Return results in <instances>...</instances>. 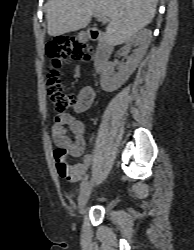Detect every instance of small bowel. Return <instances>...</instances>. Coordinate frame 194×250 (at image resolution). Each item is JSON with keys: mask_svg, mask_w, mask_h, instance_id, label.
I'll list each match as a JSON object with an SVG mask.
<instances>
[{"mask_svg": "<svg viewBox=\"0 0 194 250\" xmlns=\"http://www.w3.org/2000/svg\"><path fill=\"white\" fill-rule=\"evenodd\" d=\"M95 99V91L92 86H84L78 95L76 112L82 113L88 110ZM51 135L57 149H64L73 157H81L85 149V125L69 113H60L54 117L51 125ZM92 156L85 155L82 161L64 171L57 163L58 174L70 182H78L87 173L92 163Z\"/></svg>", "mask_w": 194, "mask_h": 250, "instance_id": "c3829d8e", "label": "small bowel"}]
</instances>
